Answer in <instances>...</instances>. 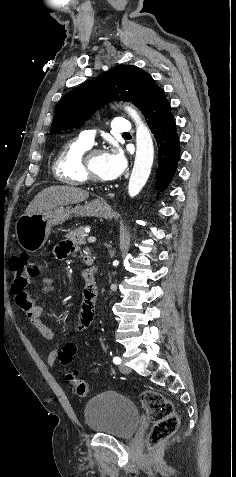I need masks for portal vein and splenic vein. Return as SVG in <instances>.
Wrapping results in <instances>:
<instances>
[{
  "mask_svg": "<svg viewBox=\"0 0 236 477\" xmlns=\"http://www.w3.org/2000/svg\"><path fill=\"white\" fill-rule=\"evenodd\" d=\"M95 241H96V237H94V236H90V237L88 238V242H89V243H94Z\"/></svg>",
  "mask_w": 236,
  "mask_h": 477,
  "instance_id": "obj_1",
  "label": "portal vein and splenic vein"
}]
</instances>
